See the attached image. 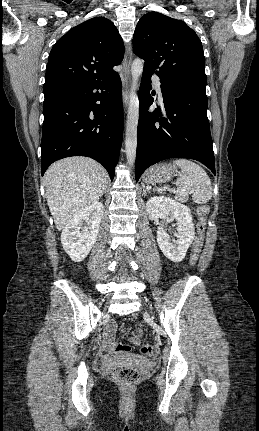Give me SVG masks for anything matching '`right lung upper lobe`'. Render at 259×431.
Returning a JSON list of instances; mask_svg holds the SVG:
<instances>
[{"label":"right lung upper lobe","instance_id":"cb5924a9","mask_svg":"<svg viewBox=\"0 0 259 431\" xmlns=\"http://www.w3.org/2000/svg\"><path fill=\"white\" fill-rule=\"evenodd\" d=\"M124 56V45L114 24L94 17L69 30L53 46L44 83V94L68 86L111 78Z\"/></svg>","mask_w":259,"mask_h":431}]
</instances>
